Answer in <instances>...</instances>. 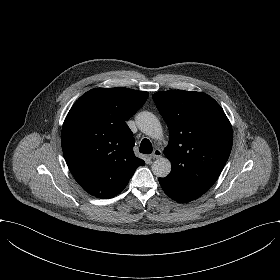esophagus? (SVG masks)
<instances>
[{
  "instance_id": "1",
  "label": "esophagus",
  "mask_w": 280,
  "mask_h": 280,
  "mask_svg": "<svg viewBox=\"0 0 280 280\" xmlns=\"http://www.w3.org/2000/svg\"><path fill=\"white\" fill-rule=\"evenodd\" d=\"M162 155V152L159 148H156L153 153L150 155L151 159H157Z\"/></svg>"
}]
</instances>
